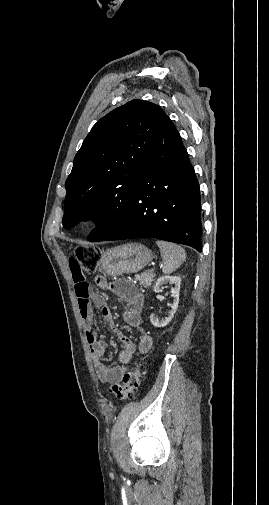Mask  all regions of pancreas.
Returning a JSON list of instances; mask_svg holds the SVG:
<instances>
[{"mask_svg":"<svg viewBox=\"0 0 269 505\" xmlns=\"http://www.w3.org/2000/svg\"><path fill=\"white\" fill-rule=\"evenodd\" d=\"M155 274L150 270L135 276V280L139 281L141 286L149 287L154 280Z\"/></svg>","mask_w":269,"mask_h":505,"instance_id":"pancreas-1","label":"pancreas"}]
</instances>
